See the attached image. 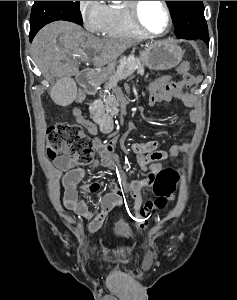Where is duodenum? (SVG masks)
Wrapping results in <instances>:
<instances>
[{
    "instance_id": "410a0bca",
    "label": "duodenum",
    "mask_w": 237,
    "mask_h": 300,
    "mask_svg": "<svg viewBox=\"0 0 237 300\" xmlns=\"http://www.w3.org/2000/svg\"><path fill=\"white\" fill-rule=\"evenodd\" d=\"M100 75L93 70H85L80 73L78 82L81 88L87 94H94L100 85ZM89 112L91 118L97 125L98 129L103 133H109L114 129L112 122L102 112L99 105L96 102H91L89 105Z\"/></svg>"
}]
</instances>
